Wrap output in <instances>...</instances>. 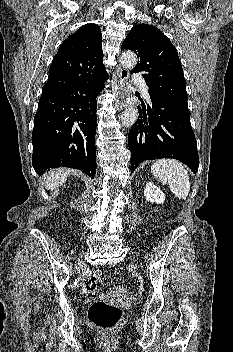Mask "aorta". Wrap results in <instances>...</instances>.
I'll list each match as a JSON object with an SVG mask.
<instances>
[{"label":"aorta","instance_id":"obj_1","mask_svg":"<svg viewBox=\"0 0 233 352\" xmlns=\"http://www.w3.org/2000/svg\"><path fill=\"white\" fill-rule=\"evenodd\" d=\"M120 62L124 68L132 69L137 64V56L132 51L123 52ZM138 118V110L131 107L126 109L120 116L121 124L125 127L132 126Z\"/></svg>","mask_w":233,"mask_h":352}]
</instances>
